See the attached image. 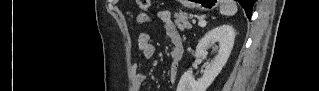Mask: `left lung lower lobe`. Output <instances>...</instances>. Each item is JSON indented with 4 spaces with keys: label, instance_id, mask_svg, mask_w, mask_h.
<instances>
[{
    "label": "left lung lower lobe",
    "instance_id": "1",
    "mask_svg": "<svg viewBox=\"0 0 319 91\" xmlns=\"http://www.w3.org/2000/svg\"><path fill=\"white\" fill-rule=\"evenodd\" d=\"M240 5L244 8L247 17L250 19L252 15V7L255 3V0H237Z\"/></svg>",
    "mask_w": 319,
    "mask_h": 91
}]
</instances>
